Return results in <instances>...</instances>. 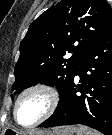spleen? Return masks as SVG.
<instances>
[{
  "mask_svg": "<svg viewBox=\"0 0 112 135\" xmlns=\"http://www.w3.org/2000/svg\"><path fill=\"white\" fill-rule=\"evenodd\" d=\"M83 135H101L100 133H98V132H96V131H94V132H91V131H86V132H84V134Z\"/></svg>",
  "mask_w": 112,
  "mask_h": 135,
  "instance_id": "spleen-1",
  "label": "spleen"
}]
</instances>
